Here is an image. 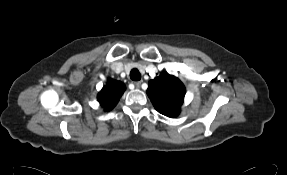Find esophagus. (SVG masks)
I'll return each mask as SVG.
<instances>
[{
    "instance_id": "1",
    "label": "esophagus",
    "mask_w": 287,
    "mask_h": 175,
    "mask_svg": "<svg viewBox=\"0 0 287 175\" xmlns=\"http://www.w3.org/2000/svg\"><path fill=\"white\" fill-rule=\"evenodd\" d=\"M142 81H136L134 82V85L136 88H140Z\"/></svg>"
}]
</instances>
